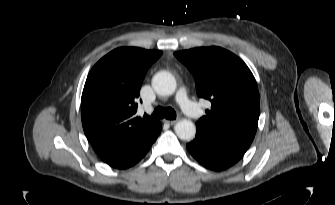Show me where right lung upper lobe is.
I'll return each instance as SVG.
<instances>
[{
	"label": "right lung upper lobe",
	"instance_id": "cb5924a9",
	"mask_svg": "<svg viewBox=\"0 0 335 205\" xmlns=\"http://www.w3.org/2000/svg\"><path fill=\"white\" fill-rule=\"evenodd\" d=\"M161 55L159 50L117 48L88 74L81 98L82 125L104 162L134 158L157 139L160 121L136 112L145 74Z\"/></svg>",
	"mask_w": 335,
	"mask_h": 205
}]
</instances>
